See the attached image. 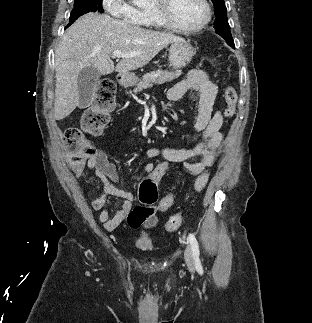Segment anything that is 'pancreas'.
<instances>
[{"mask_svg":"<svg viewBox=\"0 0 312 323\" xmlns=\"http://www.w3.org/2000/svg\"><path fill=\"white\" fill-rule=\"evenodd\" d=\"M181 70H175V72H149V74H145L142 76V80H140L139 84H136V88H134V94H138V92H142V90H146V88H152L153 84H165V82H172V80H176L181 76Z\"/></svg>","mask_w":312,"mask_h":323,"instance_id":"1","label":"pancreas"}]
</instances>
